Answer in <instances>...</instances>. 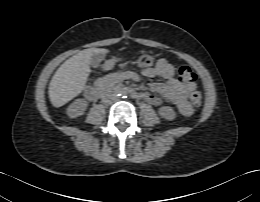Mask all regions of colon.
<instances>
[{
  "label": "colon",
  "mask_w": 260,
  "mask_h": 202,
  "mask_svg": "<svg viewBox=\"0 0 260 202\" xmlns=\"http://www.w3.org/2000/svg\"><path fill=\"white\" fill-rule=\"evenodd\" d=\"M179 79L182 83H193L196 80V74L188 66H182L179 69ZM190 101L193 105H199L202 101V94L200 91L196 90L190 94Z\"/></svg>",
  "instance_id": "obj_1"
}]
</instances>
